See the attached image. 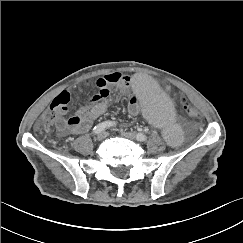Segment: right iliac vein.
<instances>
[{
  "mask_svg": "<svg viewBox=\"0 0 243 243\" xmlns=\"http://www.w3.org/2000/svg\"><path fill=\"white\" fill-rule=\"evenodd\" d=\"M107 136H108V133H107L106 131H102L101 133H99V134L97 135V139H98V140H103V139H105Z\"/></svg>",
  "mask_w": 243,
  "mask_h": 243,
  "instance_id": "right-iliac-vein-1",
  "label": "right iliac vein"
}]
</instances>
